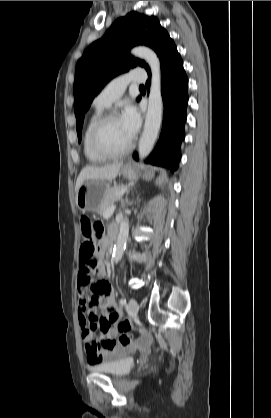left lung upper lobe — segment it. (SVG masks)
Here are the masks:
<instances>
[{
  "mask_svg": "<svg viewBox=\"0 0 271 418\" xmlns=\"http://www.w3.org/2000/svg\"><path fill=\"white\" fill-rule=\"evenodd\" d=\"M168 38L170 36L155 16L131 12L117 19L103 38L86 49L77 62L74 81V111L79 141L84 114L102 87L113 77L137 65L149 70L144 61L129 55L130 48L144 44L160 56Z\"/></svg>",
  "mask_w": 271,
  "mask_h": 418,
  "instance_id": "5c2ea615",
  "label": "left lung upper lobe"
}]
</instances>
